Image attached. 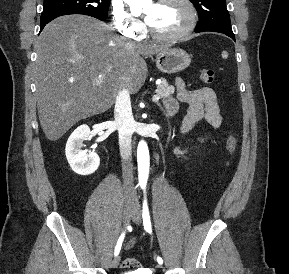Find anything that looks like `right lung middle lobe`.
I'll return each mask as SVG.
<instances>
[{"label": "right lung middle lobe", "mask_w": 289, "mask_h": 274, "mask_svg": "<svg viewBox=\"0 0 289 274\" xmlns=\"http://www.w3.org/2000/svg\"><path fill=\"white\" fill-rule=\"evenodd\" d=\"M110 0H44L41 20L69 14H84L106 20Z\"/></svg>", "instance_id": "dd1d6c3e"}]
</instances>
